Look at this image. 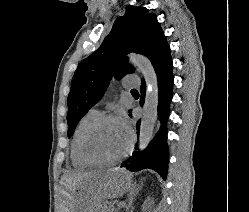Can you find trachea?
<instances>
[{"label": "trachea", "mask_w": 249, "mask_h": 212, "mask_svg": "<svg viewBox=\"0 0 249 212\" xmlns=\"http://www.w3.org/2000/svg\"><path fill=\"white\" fill-rule=\"evenodd\" d=\"M132 90H133V91H136V89H135V88H133Z\"/></svg>", "instance_id": "3493384b"}]
</instances>
